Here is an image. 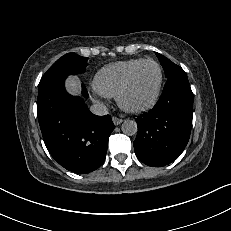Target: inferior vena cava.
<instances>
[{
  "label": "inferior vena cava",
  "mask_w": 231,
  "mask_h": 231,
  "mask_svg": "<svg viewBox=\"0 0 231 231\" xmlns=\"http://www.w3.org/2000/svg\"><path fill=\"white\" fill-rule=\"evenodd\" d=\"M90 111L98 116L108 114V108L103 103H97L90 107Z\"/></svg>",
  "instance_id": "602c4592"
}]
</instances>
